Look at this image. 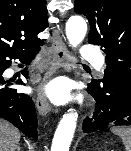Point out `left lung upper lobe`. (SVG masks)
<instances>
[{
    "label": "left lung upper lobe",
    "mask_w": 131,
    "mask_h": 151,
    "mask_svg": "<svg viewBox=\"0 0 131 151\" xmlns=\"http://www.w3.org/2000/svg\"><path fill=\"white\" fill-rule=\"evenodd\" d=\"M90 23L88 43L100 45L107 67L102 80L131 86V0H75Z\"/></svg>",
    "instance_id": "left-lung-upper-lobe-1"
}]
</instances>
